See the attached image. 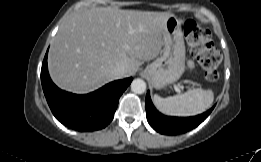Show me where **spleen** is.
<instances>
[{
	"label": "spleen",
	"mask_w": 261,
	"mask_h": 162,
	"mask_svg": "<svg viewBox=\"0 0 261 162\" xmlns=\"http://www.w3.org/2000/svg\"><path fill=\"white\" fill-rule=\"evenodd\" d=\"M214 100L212 90L201 88L190 89L187 92L162 98L154 95L153 101L156 108L163 114L170 116H194L207 110Z\"/></svg>",
	"instance_id": "spleen-1"
}]
</instances>
